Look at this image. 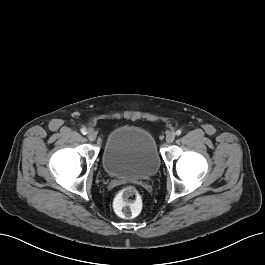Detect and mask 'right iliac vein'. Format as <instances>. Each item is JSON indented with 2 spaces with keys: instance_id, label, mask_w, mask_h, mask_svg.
<instances>
[{
  "instance_id": "right-iliac-vein-1",
  "label": "right iliac vein",
  "mask_w": 265,
  "mask_h": 265,
  "mask_svg": "<svg viewBox=\"0 0 265 265\" xmlns=\"http://www.w3.org/2000/svg\"><path fill=\"white\" fill-rule=\"evenodd\" d=\"M87 137H88V139H89L90 141H94V140L96 139V133H95V131L92 130V129H89V130L87 131Z\"/></svg>"
}]
</instances>
